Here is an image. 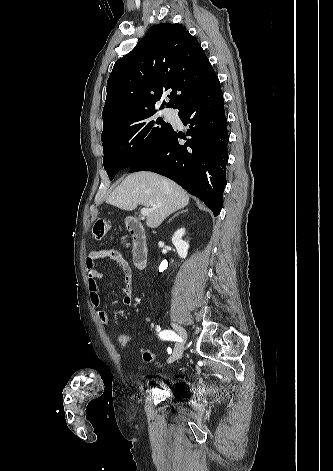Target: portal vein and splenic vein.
Here are the masks:
<instances>
[{
    "instance_id": "portal-vein-and-splenic-vein-1",
    "label": "portal vein and splenic vein",
    "mask_w": 333,
    "mask_h": 471,
    "mask_svg": "<svg viewBox=\"0 0 333 471\" xmlns=\"http://www.w3.org/2000/svg\"><path fill=\"white\" fill-rule=\"evenodd\" d=\"M152 210L153 209H150V208H142L141 209V215L142 216H148L151 213Z\"/></svg>"
}]
</instances>
